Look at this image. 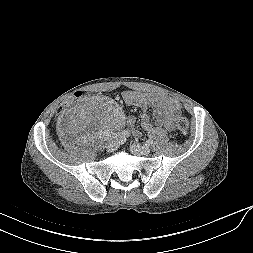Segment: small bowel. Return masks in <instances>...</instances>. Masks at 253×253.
I'll list each match as a JSON object with an SVG mask.
<instances>
[{
  "instance_id": "c3829d8e",
  "label": "small bowel",
  "mask_w": 253,
  "mask_h": 253,
  "mask_svg": "<svg viewBox=\"0 0 253 253\" xmlns=\"http://www.w3.org/2000/svg\"><path fill=\"white\" fill-rule=\"evenodd\" d=\"M122 97L128 105L137 106L144 111H153L155 116L154 124L147 114H144L141 120L142 128L149 132L154 131L156 128H164L168 131H172L174 129V122L180 117L182 112L180 102L171 97L137 91H125ZM135 123V117H129L126 121L129 127H133ZM134 134L139 136L140 132L135 130Z\"/></svg>"
}]
</instances>
